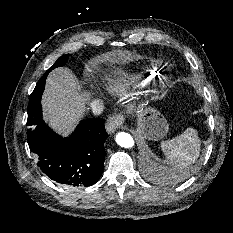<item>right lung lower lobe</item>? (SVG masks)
Returning <instances> with one entry per match:
<instances>
[{
  "label": "right lung lower lobe",
  "instance_id": "right-lung-lower-lobe-1",
  "mask_svg": "<svg viewBox=\"0 0 233 233\" xmlns=\"http://www.w3.org/2000/svg\"><path fill=\"white\" fill-rule=\"evenodd\" d=\"M46 78L44 75L38 81L29 105L36 102L41 106ZM107 136L101 118L81 121L70 137L63 138L41 116L27 139L30 150L39 159L37 165L49 178L61 184L87 187L96 183L103 172Z\"/></svg>",
  "mask_w": 233,
  "mask_h": 233
}]
</instances>
